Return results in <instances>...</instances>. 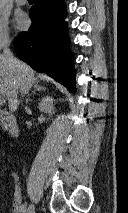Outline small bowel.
<instances>
[{"label":"small bowel","mask_w":128,"mask_h":213,"mask_svg":"<svg viewBox=\"0 0 128 213\" xmlns=\"http://www.w3.org/2000/svg\"><path fill=\"white\" fill-rule=\"evenodd\" d=\"M11 176L14 179V194L11 204V213H24L25 206L22 204V196L20 193L18 176L14 172L11 173Z\"/></svg>","instance_id":"obj_1"}]
</instances>
